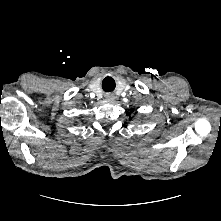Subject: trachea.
<instances>
[{
	"label": "trachea",
	"instance_id": "obj_1",
	"mask_svg": "<svg viewBox=\"0 0 221 221\" xmlns=\"http://www.w3.org/2000/svg\"><path fill=\"white\" fill-rule=\"evenodd\" d=\"M107 80H112V78L108 77V78H105V79H104V81H103V89H104L105 91H111V90H113V88H114V84L112 83V84L106 85ZM107 87H108V88H107Z\"/></svg>",
	"mask_w": 221,
	"mask_h": 221
}]
</instances>
